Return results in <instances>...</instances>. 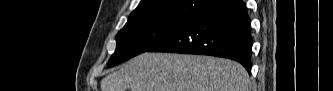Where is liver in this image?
Wrapping results in <instances>:
<instances>
[{
  "label": "liver",
  "instance_id": "obj_1",
  "mask_svg": "<svg viewBox=\"0 0 333 91\" xmlns=\"http://www.w3.org/2000/svg\"><path fill=\"white\" fill-rule=\"evenodd\" d=\"M245 68L223 58L140 54L101 81V91H249Z\"/></svg>",
  "mask_w": 333,
  "mask_h": 91
}]
</instances>
